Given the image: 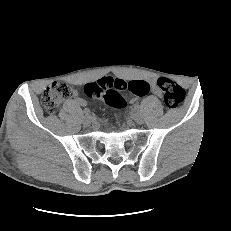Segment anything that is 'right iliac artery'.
<instances>
[{
    "label": "right iliac artery",
    "mask_w": 231,
    "mask_h": 231,
    "mask_svg": "<svg viewBox=\"0 0 231 231\" xmlns=\"http://www.w3.org/2000/svg\"><path fill=\"white\" fill-rule=\"evenodd\" d=\"M85 115H90L91 111L89 109H84Z\"/></svg>",
    "instance_id": "1"
}]
</instances>
